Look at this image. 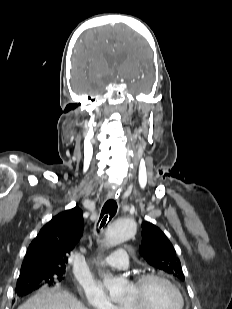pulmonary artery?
<instances>
[{"label": "pulmonary artery", "mask_w": 232, "mask_h": 309, "mask_svg": "<svg viewBox=\"0 0 232 309\" xmlns=\"http://www.w3.org/2000/svg\"><path fill=\"white\" fill-rule=\"evenodd\" d=\"M101 266L113 269H126L129 265V254L126 249H119L113 255L100 262Z\"/></svg>", "instance_id": "e3ab8cb5"}]
</instances>
